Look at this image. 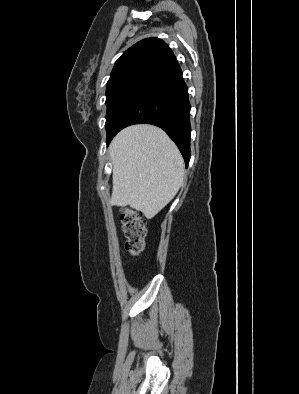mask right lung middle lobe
Instances as JSON below:
<instances>
[{
	"mask_svg": "<svg viewBox=\"0 0 299 394\" xmlns=\"http://www.w3.org/2000/svg\"><path fill=\"white\" fill-rule=\"evenodd\" d=\"M149 87L145 85H123L106 91L107 113L105 128L107 137L128 107Z\"/></svg>",
	"mask_w": 299,
	"mask_h": 394,
	"instance_id": "1",
	"label": "right lung middle lobe"
}]
</instances>
